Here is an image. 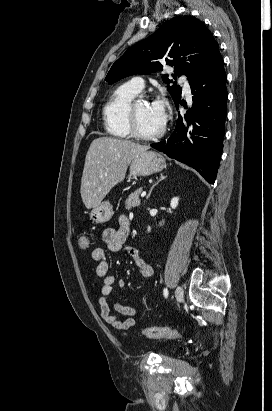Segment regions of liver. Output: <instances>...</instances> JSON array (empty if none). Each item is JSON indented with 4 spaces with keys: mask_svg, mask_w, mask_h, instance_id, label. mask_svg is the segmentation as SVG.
Listing matches in <instances>:
<instances>
[{
    "mask_svg": "<svg viewBox=\"0 0 272 411\" xmlns=\"http://www.w3.org/2000/svg\"><path fill=\"white\" fill-rule=\"evenodd\" d=\"M129 140L99 137L92 141L85 158L81 179V198L87 209L98 206L110 190L125 178L129 163L146 152Z\"/></svg>",
    "mask_w": 272,
    "mask_h": 411,
    "instance_id": "obj_1",
    "label": "liver"
}]
</instances>
